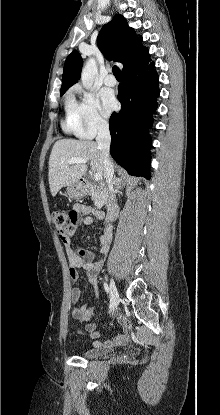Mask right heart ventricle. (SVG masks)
Wrapping results in <instances>:
<instances>
[{"mask_svg": "<svg viewBox=\"0 0 220 415\" xmlns=\"http://www.w3.org/2000/svg\"><path fill=\"white\" fill-rule=\"evenodd\" d=\"M74 98L68 96L66 99V117L63 122V129L67 132L78 134L77 123L73 111Z\"/></svg>", "mask_w": 220, "mask_h": 415, "instance_id": "obj_1", "label": "right heart ventricle"}]
</instances>
